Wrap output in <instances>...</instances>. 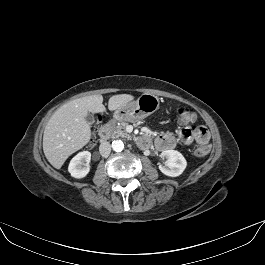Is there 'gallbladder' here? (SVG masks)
Returning a JSON list of instances; mask_svg holds the SVG:
<instances>
[{
  "label": "gallbladder",
  "mask_w": 265,
  "mask_h": 265,
  "mask_svg": "<svg viewBox=\"0 0 265 265\" xmlns=\"http://www.w3.org/2000/svg\"><path fill=\"white\" fill-rule=\"evenodd\" d=\"M86 121L88 124H94L95 123V118L93 116V114L88 113L85 117Z\"/></svg>",
  "instance_id": "obj_1"
}]
</instances>
